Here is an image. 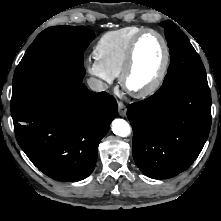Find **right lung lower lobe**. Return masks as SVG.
Segmentation results:
<instances>
[{
  "label": "right lung lower lobe",
  "mask_w": 221,
  "mask_h": 221,
  "mask_svg": "<svg viewBox=\"0 0 221 221\" xmlns=\"http://www.w3.org/2000/svg\"><path fill=\"white\" fill-rule=\"evenodd\" d=\"M81 75L66 74L64 85L12 113L18 144L49 177L73 182L88 177L98 145L118 116L116 100L91 92Z\"/></svg>",
  "instance_id": "obj_1"
}]
</instances>
